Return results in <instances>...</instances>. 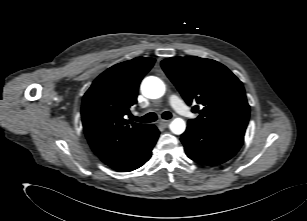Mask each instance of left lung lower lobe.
Listing matches in <instances>:
<instances>
[{
    "label": "left lung lower lobe",
    "mask_w": 307,
    "mask_h": 221,
    "mask_svg": "<svg viewBox=\"0 0 307 221\" xmlns=\"http://www.w3.org/2000/svg\"><path fill=\"white\" fill-rule=\"evenodd\" d=\"M244 136L210 130L188 123L181 135L187 156L201 164L215 166L231 159L241 148Z\"/></svg>",
    "instance_id": "left-lung-lower-lobe-1"
}]
</instances>
